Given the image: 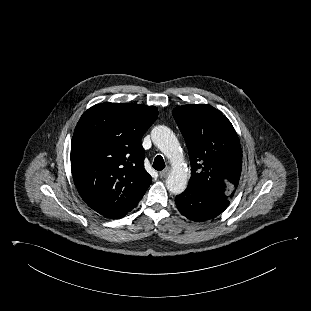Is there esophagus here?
<instances>
[{"label":"esophagus","mask_w":311,"mask_h":311,"mask_svg":"<svg viewBox=\"0 0 311 311\" xmlns=\"http://www.w3.org/2000/svg\"><path fill=\"white\" fill-rule=\"evenodd\" d=\"M169 173H170V169H169V168H166V169H164L163 171H161V172L159 173V175H160L161 178H166V177L169 175Z\"/></svg>","instance_id":"1"}]
</instances>
